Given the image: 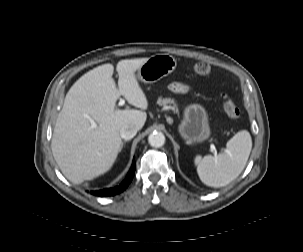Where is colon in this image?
Returning a JSON list of instances; mask_svg holds the SVG:
<instances>
[{
	"label": "colon",
	"instance_id": "obj_1",
	"mask_svg": "<svg viewBox=\"0 0 303 252\" xmlns=\"http://www.w3.org/2000/svg\"><path fill=\"white\" fill-rule=\"evenodd\" d=\"M193 70L196 74L199 75H208L211 72V68L207 63H195L193 66ZM223 107L228 115V117L232 120H238L240 117L239 108L233 103L232 100L224 96L223 98Z\"/></svg>",
	"mask_w": 303,
	"mask_h": 252
}]
</instances>
